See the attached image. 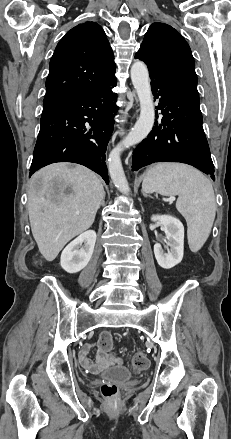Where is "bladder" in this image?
I'll list each match as a JSON object with an SVG mask.
<instances>
[{"instance_id":"obj_1","label":"bladder","mask_w":231,"mask_h":439,"mask_svg":"<svg viewBox=\"0 0 231 439\" xmlns=\"http://www.w3.org/2000/svg\"><path fill=\"white\" fill-rule=\"evenodd\" d=\"M102 376L112 381H126L132 377V373L127 367L115 366L104 371Z\"/></svg>"}]
</instances>
